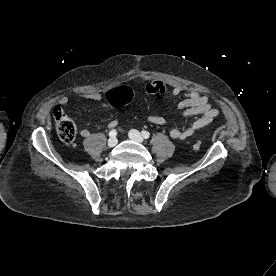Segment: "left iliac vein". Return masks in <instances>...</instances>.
Listing matches in <instances>:
<instances>
[{
    "label": "left iliac vein",
    "instance_id": "obj_1",
    "mask_svg": "<svg viewBox=\"0 0 276 276\" xmlns=\"http://www.w3.org/2000/svg\"><path fill=\"white\" fill-rule=\"evenodd\" d=\"M128 135H129V138L133 141H136L139 143H143L144 141L141 133L135 129L130 130Z\"/></svg>",
    "mask_w": 276,
    "mask_h": 276
}]
</instances>
